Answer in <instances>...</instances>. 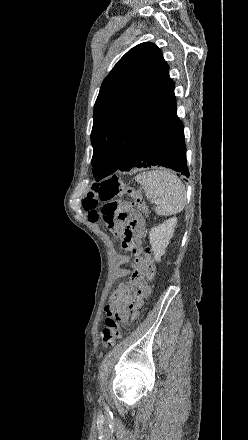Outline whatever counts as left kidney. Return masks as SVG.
I'll return each mask as SVG.
<instances>
[{"label":"left kidney","mask_w":248,"mask_h":440,"mask_svg":"<svg viewBox=\"0 0 248 440\" xmlns=\"http://www.w3.org/2000/svg\"><path fill=\"white\" fill-rule=\"evenodd\" d=\"M176 224L177 218L172 217L150 230L149 239L152 247L151 249L154 253L155 261H161V256L164 255L169 241L173 236Z\"/></svg>","instance_id":"obj_1"}]
</instances>
